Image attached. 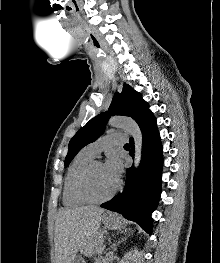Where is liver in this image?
<instances>
[{
    "label": "liver",
    "instance_id": "liver-1",
    "mask_svg": "<svg viewBox=\"0 0 220 263\" xmlns=\"http://www.w3.org/2000/svg\"><path fill=\"white\" fill-rule=\"evenodd\" d=\"M104 209L95 206L62 208L55 217L54 245L56 263H72L97 233Z\"/></svg>",
    "mask_w": 220,
    "mask_h": 263
}]
</instances>
